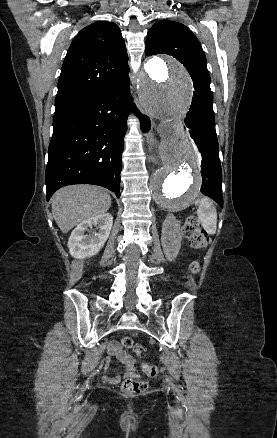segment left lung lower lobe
Here are the masks:
<instances>
[{
  "mask_svg": "<svg viewBox=\"0 0 277 438\" xmlns=\"http://www.w3.org/2000/svg\"><path fill=\"white\" fill-rule=\"evenodd\" d=\"M185 123L191 129V137L202 155L201 192L223 207L222 171L212 105L203 106L192 103Z\"/></svg>",
  "mask_w": 277,
  "mask_h": 438,
  "instance_id": "0a47b994",
  "label": "left lung lower lobe"
}]
</instances>
